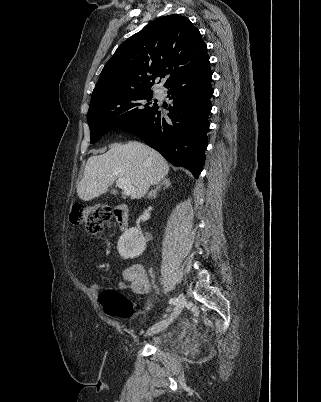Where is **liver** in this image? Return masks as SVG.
<instances>
[{
  "label": "liver",
  "mask_w": 321,
  "mask_h": 402,
  "mask_svg": "<svg viewBox=\"0 0 321 402\" xmlns=\"http://www.w3.org/2000/svg\"><path fill=\"white\" fill-rule=\"evenodd\" d=\"M168 172L165 158L141 142L112 145L106 153L89 157L77 194L80 199L90 201L107 192L115 180L125 178L134 186L131 199H140ZM111 193L117 191L113 189Z\"/></svg>",
  "instance_id": "6515ba94"
}]
</instances>
